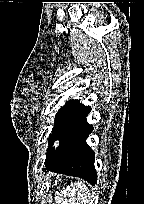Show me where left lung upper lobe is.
<instances>
[{
  "label": "left lung upper lobe",
  "instance_id": "1",
  "mask_svg": "<svg viewBox=\"0 0 144 204\" xmlns=\"http://www.w3.org/2000/svg\"><path fill=\"white\" fill-rule=\"evenodd\" d=\"M80 105L82 104H80L79 100H70L57 112L54 128L52 129V133L48 139L49 148L47 151L54 149V147H52L54 145V141L58 140L60 143L64 140L69 127V122Z\"/></svg>",
  "mask_w": 144,
  "mask_h": 204
}]
</instances>
